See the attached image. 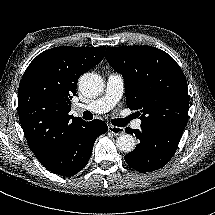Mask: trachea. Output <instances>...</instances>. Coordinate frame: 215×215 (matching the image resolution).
<instances>
[{
  "instance_id": "1",
  "label": "trachea",
  "mask_w": 215,
  "mask_h": 215,
  "mask_svg": "<svg viewBox=\"0 0 215 215\" xmlns=\"http://www.w3.org/2000/svg\"><path fill=\"white\" fill-rule=\"evenodd\" d=\"M83 118H84L85 120H91V119H93V114H92L90 111H85V112L83 113ZM132 119H133V115H130V116H128V117H126V118H123V119H114V120H112V124L115 125V126L124 127V126H126V125L130 122V120H132Z\"/></svg>"
}]
</instances>
